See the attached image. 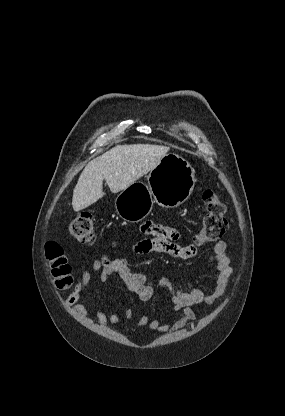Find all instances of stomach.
<instances>
[{"instance_id": "1", "label": "stomach", "mask_w": 285, "mask_h": 416, "mask_svg": "<svg viewBox=\"0 0 285 416\" xmlns=\"http://www.w3.org/2000/svg\"><path fill=\"white\" fill-rule=\"evenodd\" d=\"M147 182L148 186L137 180L118 194L115 208L122 220L141 222L152 212L154 202L162 208H177L191 196L196 180L189 162L177 154H166L150 170Z\"/></svg>"}]
</instances>
